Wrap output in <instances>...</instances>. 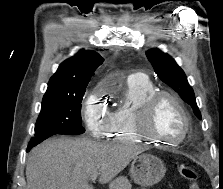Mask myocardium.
<instances>
[{
    "label": "myocardium",
    "instance_id": "1",
    "mask_svg": "<svg viewBox=\"0 0 223 189\" xmlns=\"http://www.w3.org/2000/svg\"><path fill=\"white\" fill-rule=\"evenodd\" d=\"M165 98L171 100L177 106L184 119V131L181 137L172 141L156 135L150 130L153 113L159 101ZM133 120L135 129L142 139H146L151 142H159L168 147H176L185 141L188 138L192 128L191 116L184 106L182 100L176 95L167 91H154L147 98H145L135 111Z\"/></svg>",
    "mask_w": 223,
    "mask_h": 189
}]
</instances>
